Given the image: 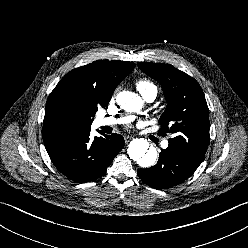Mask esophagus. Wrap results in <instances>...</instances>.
<instances>
[{
	"label": "esophagus",
	"instance_id": "34e87169",
	"mask_svg": "<svg viewBox=\"0 0 248 248\" xmlns=\"http://www.w3.org/2000/svg\"><path fill=\"white\" fill-rule=\"evenodd\" d=\"M131 139H132V137H130V136L124 137L125 143H128Z\"/></svg>",
	"mask_w": 248,
	"mask_h": 248
}]
</instances>
